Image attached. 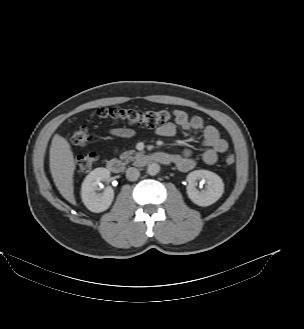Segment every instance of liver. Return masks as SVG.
<instances>
[{
	"instance_id": "1",
	"label": "liver",
	"mask_w": 304,
	"mask_h": 329,
	"mask_svg": "<svg viewBox=\"0 0 304 329\" xmlns=\"http://www.w3.org/2000/svg\"><path fill=\"white\" fill-rule=\"evenodd\" d=\"M49 165L53 181L60 194L68 202L76 205L73 186L75 159L69 142L59 134H56L51 142Z\"/></svg>"
}]
</instances>
